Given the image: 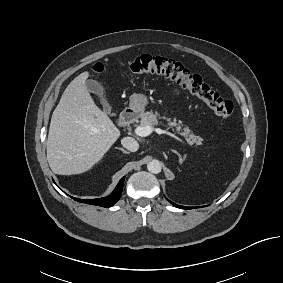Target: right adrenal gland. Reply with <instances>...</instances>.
<instances>
[{"mask_svg": "<svg viewBox=\"0 0 283 283\" xmlns=\"http://www.w3.org/2000/svg\"><path fill=\"white\" fill-rule=\"evenodd\" d=\"M116 149L121 150L124 154H129L130 152L126 151L125 149L121 147H117Z\"/></svg>", "mask_w": 283, "mask_h": 283, "instance_id": "right-adrenal-gland-1", "label": "right adrenal gland"}]
</instances>
